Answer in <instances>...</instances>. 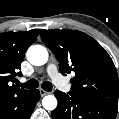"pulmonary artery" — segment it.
Returning a JSON list of instances; mask_svg holds the SVG:
<instances>
[{"label":"pulmonary artery","instance_id":"e3ab8cb5","mask_svg":"<svg viewBox=\"0 0 119 119\" xmlns=\"http://www.w3.org/2000/svg\"><path fill=\"white\" fill-rule=\"evenodd\" d=\"M46 72H47L48 76L52 79V81L54 83H56L61 89L64 88V86L62 84H60V82H59L61 76L58 73V69H57V66H56L55 63L50 62L47 65Z\"/></svg>","mask_w":119,"mask_h":119}]
</instances>
